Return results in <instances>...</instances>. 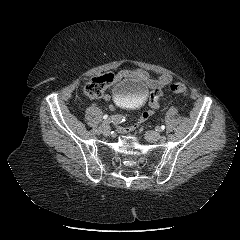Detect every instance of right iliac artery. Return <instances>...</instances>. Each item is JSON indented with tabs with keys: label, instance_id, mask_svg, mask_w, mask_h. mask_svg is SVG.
Returning a JSON list of instances; mask_svg holds the SVG:
<instances>
[{
	"label": "right iliac artery",
	"instance_id": "right-iliac-artery-1",
	"mask_svg": "<svg viewBox=\"0 0 240 240\" xmlns=\"http://www.w3.org/2000/svg\"><path fill=\"white\" fill-rule=\"evenodd\" d=\"M105 121H102L100 123V125L98 126V130L96 131V134L97 135H100L101 134V131L104 126L106 125V123H109V122H112V123H122L123 121H125V117L122 116V115H114L112 116L111 118L108 119V117L106 119H104Z\"/></svg>",
	"mask_w": 240,
	"mask_h": 240
}]
</instances>
